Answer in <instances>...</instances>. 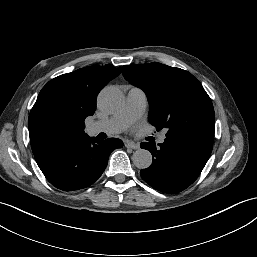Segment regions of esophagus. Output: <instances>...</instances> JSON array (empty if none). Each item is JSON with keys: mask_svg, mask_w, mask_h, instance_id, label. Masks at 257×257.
Returning <instances> with one entry per match:
<instances>
[{"mask_svg": "<svg viewBox=\"0 0 257 257\" xmlns=\"http://www.w3.org/2000/svg\"><path fill=\"white\" fill-rule=\"evenodd\" d=\"M125 147L127 148H131V149H139V144L138 143H135V142H132V141H126L125 142Z\"/></svg>", "mask_w": 257, "mask_h": 257, "instance_id": "34e87169", "label": "esophagus"}]
</instances>
